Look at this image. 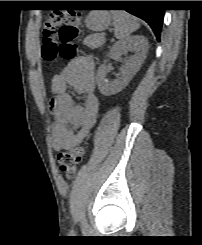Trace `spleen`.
I'll return each instance as SVG.
<instances>
[{"label": "spleen", "mask_w": 202, "mask_h": 245, "mask_svg": "<svg viewBox=\"0 0 202 245\" xmlns=\"http://www.w3.org/2000/svg\"><path fill=\"white\" fill-rule=\"evenodd\" d=\"M115 37L124 40L136 31L140 24L137 19L126 11H112Z\"/></svg>", "instance_id": "1"}]
</instances>
